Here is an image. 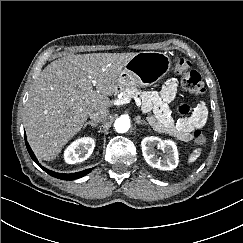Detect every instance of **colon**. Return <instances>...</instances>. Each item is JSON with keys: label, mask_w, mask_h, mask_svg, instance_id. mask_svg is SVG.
<instances>
[{"label": "colon", "mask_w": 243, "mask_h": 243, "mask_svg": "<svg viewBox=\"0 0 243 243\" xmlns=\"http://www.w3.org/2000/svg\"><path fill=\"white\" fill-rule=\"evenodd\" d=\"M173 68L176 73L183 75L182 84L185 89L194 94L204 93L205 85L201 75L196 70L191 69V64L186 58L176 57L173 60ZM178 113L181 116H187L191 113V108L187 104L180 105L178 107ZM191 135L197 144L203 145L207 142L206 137L199 129H194Z\"/></svg>", "instance_id": "obj_1"}]
</instances>
